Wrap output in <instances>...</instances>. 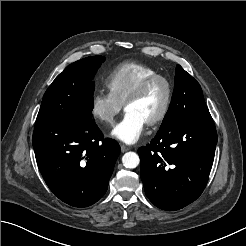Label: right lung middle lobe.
<instances>
[{
    "mask_svg": "<svg viewBox=\"0 0 246 246\" xmlns=\"http://www.w3.org/2000/svg\"><path fill=\"white\" fill-rule=\"evenodd\" d=\"M104 60L103 56H91L67 66L45 92L36 122H92V78Z\"/></svg>",
    "mask_w": 246,
    "mask_h": 246,
    "instance_id": "obj_1",
    "label": "right lung middle lobe"
}]
</instances>
